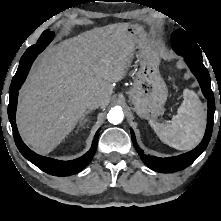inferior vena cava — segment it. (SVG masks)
I'll return each mask as SVG.
<instances>
[{
	"mask_svg": "<svg viewBox=\"0 0 221 221\" xmlns=\"http://www.w3.org/2000/svg\"><path fill=\"white\" fill-rule=\"evenodd\" d=\"M86 107L90 110H94V109H97L98 107H100L99 98L93 97V98L89 99L86 102Z\"/></svg>",
	"mask_w": 221,
	"mask_h": 221,
	"instance_id": "obj_1",
	"label": "inferior vena cava"
}]
</instances>
